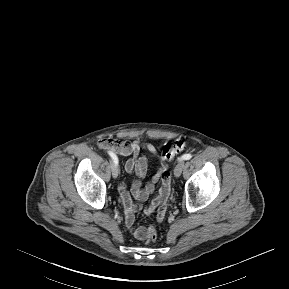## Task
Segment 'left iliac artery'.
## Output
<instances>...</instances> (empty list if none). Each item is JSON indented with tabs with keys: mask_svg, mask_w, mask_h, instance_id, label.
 Instances as JSON below:
<instances>
[{
	"mask_svg": "<svg viewBox=\"0 0 289 289\" xmlns=\"http://www.w3.org/2000/svg\"><path fill=\"white\" fill-rule=\"evenodd\" d=\"M192 158L191 154H184L181 158H179V160H189Z\"/></svg>",
	"mask_w": 289,
	"mask_h": 289,
	"instance_id": "left-iliac-artery-1",
	"label": "left iliac artery"
}]
</instances>
